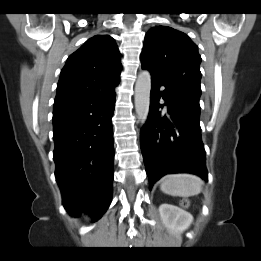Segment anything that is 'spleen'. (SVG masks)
Listing matches in <instances>:
<instances>
[{"label":"spleen","instance_id":"1","mask_svg":"<svg viewBox=\"0 0 261 261\" xmlns=\"http://www.w3.org/2000/svg\"><path fill=\"white\" fill-rule=\"evenodd\" d=\"M203 188V181L195 175L180 173L170 174L161 179L162 192L180 197H189L199 194Z\"/></svg>","mask_w":261,"mask_h":261}]
</instances>
